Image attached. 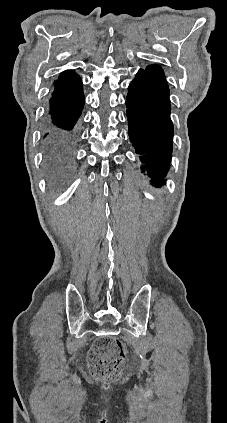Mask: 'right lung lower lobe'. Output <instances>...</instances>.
<instances>
[{
    "mask_svg": "<svg viewBox=\"0 0 227 423\" xmlns=\"http://www.w3.org/2000/svg\"><path fill=\"white\" fill-rule=\"evenodd\" d=\"M84 100L83 91L70 93L55 89L52 94L50 121L44 136L43 167L49 181L55 186L63 184L71 174L78 144V131L74 126Z\"/></svg>",
    "mask_w": 227,
    "mask_h": 423,
    "instance_id": "98d812e1",
    "label": "right lung lower lobe"
}]
</instances>
